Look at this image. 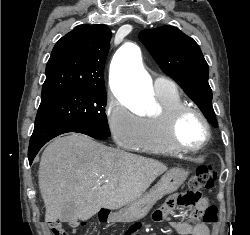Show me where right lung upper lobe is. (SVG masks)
<instances>
[{"mask_svg": "<svg viewBox=\"0 0 250 235\" xmlns=\"http://www.w3.org/2000/svg\"><path fill=\"white\" fill-rule=\"evenodd\" d=\"M110 39L111 31L103 24L79 25L59 39L46 66L42 97L105 88L103 72Z\"/></svg>", "mask_w": 250, "mask_h": 235, "instance_id": "1", "label": "right lung upper lobe"}]
</instances>
